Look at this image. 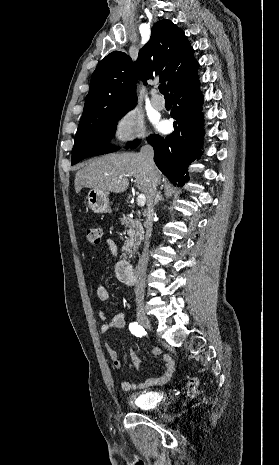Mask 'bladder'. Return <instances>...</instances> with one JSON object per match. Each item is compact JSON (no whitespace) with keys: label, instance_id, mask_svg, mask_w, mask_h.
<instances>
[{"label":"bladder","instance_id":"obj_1","mask_svg":"<svg viewBox=\"0 0 279 465\" xmlns=\"http://www.w3.org/2000/svg\"><path fill=\"white\" fill-rule=\"evenodd\" d=\"M162 394L158 391H145L131 396V405L137 410H150L162 403Z\"/></svg>","mask_w":279,"mask_h":465}]
</instances>
